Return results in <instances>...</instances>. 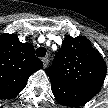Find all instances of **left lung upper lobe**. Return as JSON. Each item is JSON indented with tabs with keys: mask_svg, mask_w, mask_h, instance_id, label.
<instances>
[{
	"mask_svg": "<svg viewBox=\"0 0 108 108\" xmlns=\"http://www.w3.org/2000/svg\"><path fill=\"white\" fill-rule=\"evenodd\" d=\"M106 71V63L87 38L67 35L49 68V78L51 82L100 90Z\"/></svg>",
	"mask_w": 108,
	"mask_h": 108,
	"instance_id": "5c2ea615",
	"label": "left lung upper lobe"
}]
</instances>
